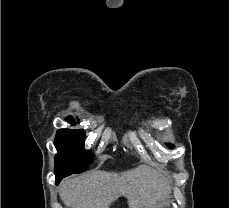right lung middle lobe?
Here are the masks:
<instances>
[{"label":"right lung middle lobe","mask_w":229,"mask_h":208,"mask_svg":"<svg viewBox=\"0 0 229 208\" xmlns=\"http://www.w3.org/2000/svg\"><path fill=\"white\" fill-rule=\"evenodd\" d=\"M75 124L72 117L67 119ZM85 132L82 129H60L55 138L58 155L55 157V175L68 176L85 171L93 161L92 154L84 150Z\"/></svg>","instance_id":"obj_1"}]
</instances>
